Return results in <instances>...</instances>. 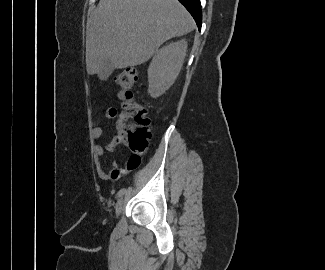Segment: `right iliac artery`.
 Wrapping results in <instances>:
<instances>
[{
    "instance_id": "obj_1",
    "label": "right iliac artery",
    "mask_w": 325,
    "mask_h": 270,
    "mask_svg": "<svg viewBox=\"0 0 325 270\" xmlns=\"http://www.w3.org/2000/svg\"><path fill=\"white\" fill-rule=\"evenodd\" d=\"M125 193H126V189H125V188H122V189L118 192V197H122Z\"/></svg>"
}]
</instances>
